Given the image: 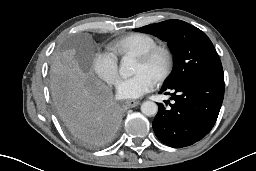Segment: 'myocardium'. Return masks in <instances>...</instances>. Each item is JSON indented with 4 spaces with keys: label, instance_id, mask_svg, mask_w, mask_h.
I'll return each mask as SVG.
<instances>
[{
    "label": "myocardium",
    "instance_id": "1",
    "mask_svg": "<svg viewBox=\"0 0 256 171\" xmlns=\"http://www.w3.org/2000/svg\"><path fill=\"white\" fill-rule=\"evenodd\" d=\"M136 58L144 64H152L159 60L162 63L161 69L154 79V83H163L171 74L173 69V56L171 51L164 46L154 48L136 55Z\"/></svg>",
    "mask_w": 256,
    "mask_h": 171
}]
</instances>
